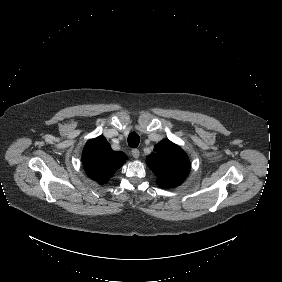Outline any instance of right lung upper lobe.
I'll return each mask as SVG.
<instances>
[{
    "instance_id": "obj_1",
    "label": "right lung upper lobe",
    "mask_w": 282,
    "mask_h": 282,
    "mask_svg": "<svg viewBox=\"0 0 282 282\" xmlns=\"http://www.w3.org/2000/svg\"><path fill=\"white\" fill-rule=\"evenodd\" d=\"M126 160L122 152H114L103 136L89 140L82 153V162L87 175L105 184Z\"/></svg>"
}]
</instances>
